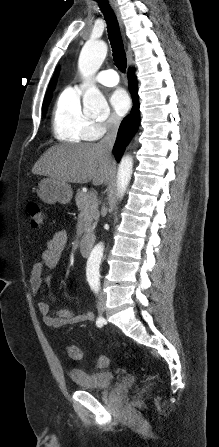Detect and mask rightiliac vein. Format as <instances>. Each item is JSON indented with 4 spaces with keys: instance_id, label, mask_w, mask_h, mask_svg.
<instances>
[{
    "instance_id": "right-iliac-vein-1",
    "label": "right iliac vein",
    "mask_w": 219,
    "mask_h": 447,
    "mask_svg": "<svg viewBox=\"0 0 219 447\" xmlns=\"http://www.w3.org/2000/svg\"><path fill=\"white\" fill-rule=\"evenodd\" d=\"M99 311H100V312H103V308H99Z\"/></svg>"
}]
</instances>
